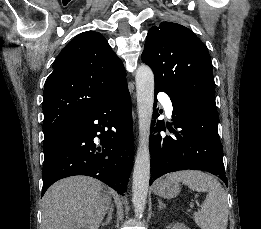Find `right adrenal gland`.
Returning a JSON list of instances; mask_svg holds the SVG:
<instances>
[{"mask_svg": "<svg viewBox=\"0 0 261 229\" xmlns=\"http://www.w3.org/2000/svg\"><path fill=\"white\" fill-rule=\"evenodd\" d=\"M113 211H114V207H113V205H110V209L108 211L107 219H106L105 223H102V227H105V225H109V223H111Z\"/></svg>", "mask_w": 261, "mask_h": 229, "instance_id": "2a0ac1e0", "label": "right adrenal gland"}]
</instances>
